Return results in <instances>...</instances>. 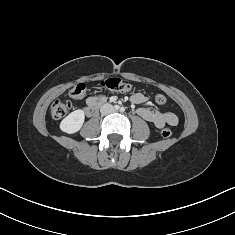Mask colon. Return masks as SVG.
Listing matches in <instances>:
<instances>
[{"mask_svg":"<svg viewBox=\"0 0 235 235\" xmlns=\"http://www.w3.org/2000/svg\"><path fill=\"white\" fill-rule=\"evenodd\" d=\"M96 86L121 93L130 92L133 89L131 84L123 82L117 77L101 80ZM86 88V85L83 83L77 84L70 90L69 95L74 99H80L84 96ZM155 101L159 105H164L167 102V98L163 94H158L155 96ZM70 108L71 104L69 101L57 100L51 106V115L54 119H61L67 115ZM161 135L164 138H169L172 135V131L169 128H164L161 131Z\"/></svg>","mask_w":235,"mask_h":235,"instance_id":"colon-1","label":"colon"}]
</instances>
